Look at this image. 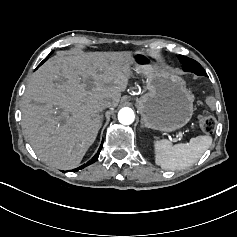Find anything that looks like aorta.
<instances>
[{
  "label": "aorta",
  "mask_w": 237,
  "mask_h": 237,
  "mask_svg": "<svg viewBox=\"0 0 237 237\" xmlns=\"http://www.w3.org/2000/svg\"><path fill=\"white\" fill-rule=\"evenodd\" d=\"M135 114L130 108H122L118 112V120L123 125H130L134 122Z\"/></svg>",
  "instance_id": "obj_1"
}]
</instances>
